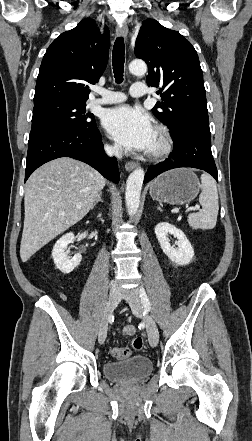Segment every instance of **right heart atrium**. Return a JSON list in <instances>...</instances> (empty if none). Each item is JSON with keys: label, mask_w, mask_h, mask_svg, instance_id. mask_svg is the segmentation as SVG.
Returning a JSON list of instances; mask_svg holds the SVG:
<instances>
[{"label": "right heart atrium", "mask_w": 252, "mask_h": 441, "mask_svg": "<svg viewBox=\"0 0 252 441\" xmlns=\"http://www.w3.org/2000/svg\"><path fill=\"white\" fill-rule=\"evenodd\" d=\"M106 151L110 154L117 155L119 153V148L115 145H106Z\"/></svg>", "instance_id": "1"}]
</instances>
